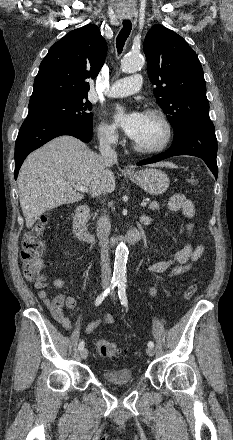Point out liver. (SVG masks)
<instances>
[{"mask_svg":"<svg viewBox=\"0 0 233 440\" xmlns=\"http://www.w3.org/2000/svg\"><path fill=\"white\" fill-rule=\"evenodd\" d=\"M101 155L72 136L57 137L32 152L20 168L17 183L27 228L46 211L72 204L84 195L73 185H83L91 195L111 193L115 177ZM156 163L153 166H167Z\"/></svg>","mask_w":233,"mask_h":440,"instance_id":"obj_1","label":"liver"}]
</instances>
